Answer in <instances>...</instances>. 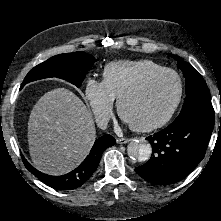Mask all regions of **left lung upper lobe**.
Returning a JSON list of instances; mask_svg holds the SVG:
<instances>
[{"label": "left lung upper lobe", "mask_w": 221, "mask_h": 221, "mask_svg": "<svg viewBox=\"0 0 221 221\" xmlns=\"http://www.w3.org/2000/svg\"><path fill=\"white\" fill-rule=\"evenodd\" d=\"M178 61L186 80V98L179 116L180 118L195 108L213 109L209 89L199 72L180 57L170 55Z\"/></svg>", "instance_id": "left-lung-upper-lobe-1"}]
</instances>
